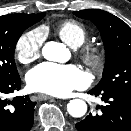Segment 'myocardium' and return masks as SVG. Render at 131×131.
<instances>
[{"label": "myocardium", "mask_w": 131, "mask_h": 131, "mask_svg": "<svg viewBox=\"0 0 131 131\" xmlns=\"http://www.w3.org/2000/svg\"><path fill=\"white\" fill-rule=\"evenodd\" d=\"M79 57L91 69H100L105 62V53L96 45H87L80 49Z\"/></svg>", "instance_id": "f54148a6"}]
</instances>
